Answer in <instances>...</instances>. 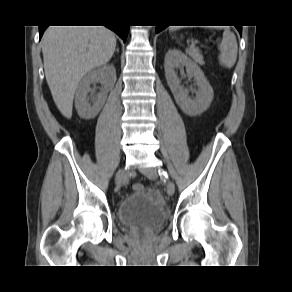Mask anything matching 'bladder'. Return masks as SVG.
Masks as SVG:
<instances>
[{"mask_svg": "<svg viewBox=\"0 0 292 292\" xmlns=\"http://www.w3.org/2000/svg\"><path fill=\"white\" fill-rule=\"evenodd\" d=\"M167 218V208L155 190H142L124 197L118 205L119 221L130 229L151 231Z\"/></svg>", "mask_w": 292, "mask_h": 292, "instance_id": "bladder-1", "label": "bladder"}]
</instances>
